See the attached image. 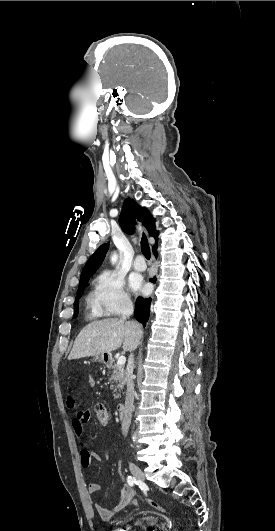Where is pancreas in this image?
Wrapping results in <instances>:
<instances>
[{
	"mask_svg": "<svg viewBox=\"0 0 275 531\" xmlns=\"http://www.w3.org/2000/svg\"><path fill=\"white\" fill-rule=\"evenodd\" d=\"M107 367L108 369H112V375L109 381H111V383H115V385H112L111 387V389H113V393H115L113 397L114 399H119V391H121V389H123L127 383V373L124 369V365H116V363H114V365H107Z\"/></svg>",
	"mask_w": 275,
	"mask_h": 531,
	"instance_id": "obj_1",
	"label": "pancreas"
}]
</instances>
